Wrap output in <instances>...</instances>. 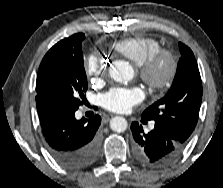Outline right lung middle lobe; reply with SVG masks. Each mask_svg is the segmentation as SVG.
Segmentation results:
<instances>
[{
  "instance_id": "right-lung-middle-lobe-1",
  "label": "right lung middle lobe",
  "mask_w": 223,
  "mask_h": 188,
  "mask_svg": "<svg viewBox=\"0 0 223 188\" xmlns=\"http://www.w3.org/2000/svg\"><path fill=\"white\" fill-rule=\"evenodd\" d=\"M84 38L83 33L74 34L44 56L36 80L37 105H81L88 89L81 49Z\"/></svg>"
}]
</instances>
